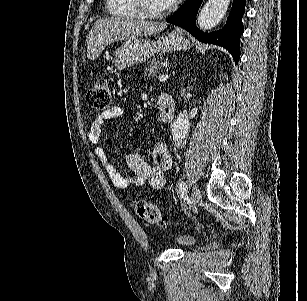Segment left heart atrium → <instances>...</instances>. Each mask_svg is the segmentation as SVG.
<instances>
[{"label":"left heart atrium","instance_id":"obj_1","mask_svg":"<svg viewBox=\"0 0 307 301\" xmlns=\"http://www.w3.org/2000/svg\"><path fill=\"white\" fill-rule=\"evenodd\" d=\"M183 0H160L161 4H182Z\"/></svg>","mask_w":307,"mask_h":301}]
</instances>
